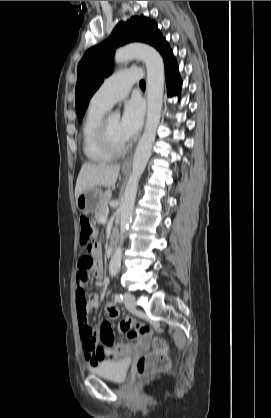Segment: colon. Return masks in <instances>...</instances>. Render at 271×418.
Wrapping results in <instances>:
<instances>
[{
    "mask_svg": "<svg viewBox=\"0 0 271 418\" xmlns=\"http://www.w3.org/2000/svg\"><path fill=\"white\" fill-rule=\"evenodd\" d=\"M80 237L82 249L86 248L87 244H93L96 236V231L91 221L86 217H81L79 220ZM92 258V257H91ZM134 326V330L131 328ZM119 328L122 332H127V338L132 339L136 337H147L150 334L149 327L136 323L133 319L123 320ZM154 351L142 356L136 363V371L139 375L145 373H152L167 369L170 366V359L167 355L165 343L160 339L153 341Z\"/></svg>",
    "mask_w": 271,
    "mask_h": 418,
    "instance_id": "5ec220e1",
    "label": "colon"
}]
</instances>
